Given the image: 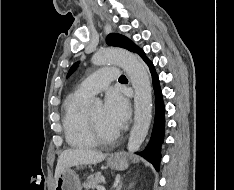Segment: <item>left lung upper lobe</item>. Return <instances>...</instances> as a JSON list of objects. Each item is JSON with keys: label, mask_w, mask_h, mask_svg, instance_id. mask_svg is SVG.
I'll return each mask as SVG.
<instances>
[{"label": "left lung upper lobe", "mask_w": 234, "mask_h": 190, "mask_svg": "<svg viewBox=\"0 0 234 190\" xmlns=\"http://www.w3.org/2000/svg\"><path fill=\"white\" fill-rule=\"evenodd\" d=\"M106 42L110 46L121 47L132 52H136V50L138 49V47L135 46L133 42L129 40L127 37L116 33L109 34L106 38ZM77 66L78 63H75L70 68L68 76L77 68Z\"/></svg>", "instance_id": "5c2ea615"}]
</instances>
